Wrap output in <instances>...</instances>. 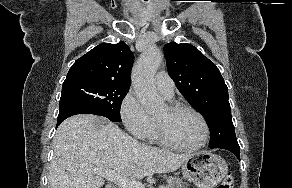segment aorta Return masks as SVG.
<instances>
[{
    "mask_svg": "<svg viewBox=\"0 0 292 188\" xmlns=\"http://www.w3.org/2000/svg\"><path fill=\"white\" fill-rule=\"evenodd\" d=\"M162 60L161 50L152 46L142 53L133 69L135 93L141 104L150 113L159 111L164 105L154 85V75Z\"/></svg>",
    "mask_w": 292,
    "mask_h": 188,
    "instance_id": "1",
    "label": "aorta"
}]
</instances>
